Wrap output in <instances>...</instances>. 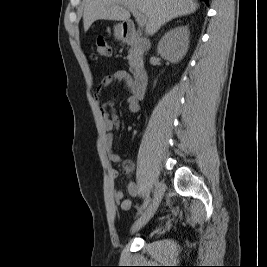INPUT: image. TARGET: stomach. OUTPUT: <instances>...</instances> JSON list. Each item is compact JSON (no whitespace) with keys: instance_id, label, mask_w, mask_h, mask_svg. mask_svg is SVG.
I'll list each match as a JSON object with an SVG mask.
<instances>
[{"instance_id":"1","label":"stomach","mask_w":267,"mask_h":267,"mask_svg":"<svg viewBox=\"0 0 267 267\" xmlns=\"http://www.w3.org/2000/svg\"><path fill=\"white\" fill-rule=\"evenodd\" d=\"M114 36L117 39H121L124 36V25L123 23H118L114 26Z\"/></svg>"}]
</instances>
